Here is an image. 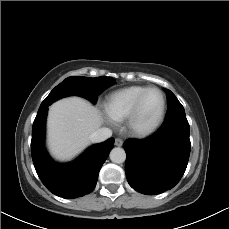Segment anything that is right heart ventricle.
I'll return each mask as SVG.
<instances>
[{
	"label": "right heart ventricle",
	"mask_w": 229,
	"mask_h": 229,
	"mask_svg": "<svg viewBox=\"0 0 229 229\" xmlns=\"http://www.w3.org/2000/svg\"><path fill=\"white\" fill-rule=\"evenodd\" d=\"M149 87L129 86L111 93L104 102V110L113 121L126 119L138 96Z\"/></svg>",
	"instance_id": "right-heart-ventricle-1"
}]
</instances>
